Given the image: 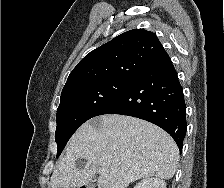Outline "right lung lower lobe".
<instances>
[{
  "instance_id": "obj_1",
  "label": "right lung lower lobe",
  "mask_w": 224,
  "mask_h": 188,
  "mask_svg": "<svg viewBox=\"0 0 224 188\" xmlns=\"http://www.w3.org/2000/svg\"><path fill=\"white\" fill-rule=\"evenodd\" d=\"M103 114L144 119L169 133L181 152L187 131L183 88L170 58L132 79L128 90Z\"/></svg>"
}]
</instances>
